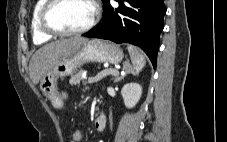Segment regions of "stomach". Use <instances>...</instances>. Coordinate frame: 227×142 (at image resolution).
<instances>
[{"label":"stomach","instance_id":"0dacf381","mask_svg":"<svg viewBox=\"0 0 227 142\" xmlns=\"http://www.w3.org/2000/svg\"><path fill=\"white\" fill-rule=\"evenodd\" d=\"M123 59V51L110 42L91 40L83 45L75 54L59 61L40 81L42 93L51 101L54 107L63 105L65 93L60 94L57 80L73 74L86 62H109L118 64Z\"/></svg>","mask_w":227,"mask_h":142}]
</instances>
